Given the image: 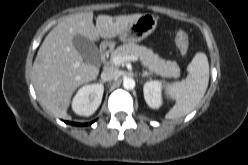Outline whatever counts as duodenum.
I'll return each mask as SVG.
<instances>
[{"instance_id": "obj_1", "label": "duodenum", "mask_w": 248, "mask_h": 165, "mask_svg": "<svg viewBox=\"0 0 248 165\" xmlns=\"http://www.w3.org/2000/svg\"><path fill=\"white\" fill-rule=\"evenodd\" d=\"M109 50H110V46L109 44H103L100 48V58H101V61L104 62L106 60V57L109 53Z\"/></svg>"}]
</instances>
